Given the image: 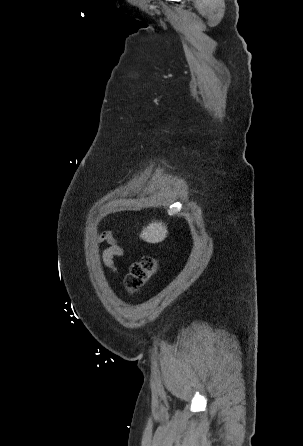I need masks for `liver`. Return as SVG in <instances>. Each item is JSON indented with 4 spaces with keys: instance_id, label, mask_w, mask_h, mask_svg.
<instances>
[{
    "instance_id": "obj_1",
    "label": "liver",
    "mask_w": 303,
    "mask_h": 446,
    "mask_svg": "<svg viewBox=\"0 0 303 446\" xmlns=\"http://www.w3.org/2000/svg\"><path fill=\"white\" fill-rule=\"evenodd\" d=\"M167 226L162 222H151L148 226L144 227L140 238L148 243H159L167 237Z\"/></svg>"
}]
</instances>
